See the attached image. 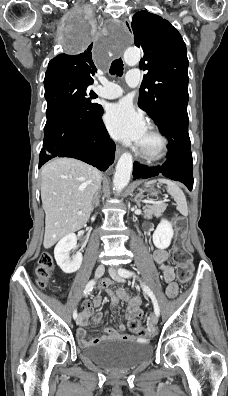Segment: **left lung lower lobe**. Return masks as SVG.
<instances>
[{
    "label": "left lung lower lobe",
    "mask_w": 228,
    "mask_h": 396,
    "mask_svg": "<svg viewBox=\"0 0 228 396\" xmlns=\"http://www.w3.org/2000/svg\"><path fill=\"white\" fill-rule=\"evenodd\" d=\"M187 103L181 102L165 109L157 123L161 134L167 137V161L156 168H148L134 162V180L163 175L182 182L191 191L193 188V160L191 142L188 134Z\"/></svg>",
    "instance_id": "left-lung-lower-lobe-1"
}]
</instances>
